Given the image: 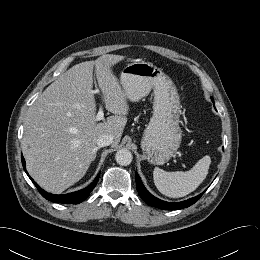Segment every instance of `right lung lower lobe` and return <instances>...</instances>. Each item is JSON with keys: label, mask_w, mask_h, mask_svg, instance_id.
<instances>
[{"label": "right lung lower lobe", "mask_w": 260, "mask_h": 260, "mask_svg": "<svg viewBox=\"0 0 260 260\" xmlns=\"http://www.w3.org/2000/svg\"><path fill=\"white\" fill-rule=\"evenodd\" d=\"M22 158V164L24 167L25 172L27 173L26 169H25V160ZM28 175V174H27ZM99 175H97V177L95 178V180L93 181L92 184H90L87 188L79 190L77 192H72V193H68V194H64V195H54V194H49L46 191H44L43 189H41L37 183L34 182V180L29 176V178L31 179V181L34 183V185L37 187V189L39 190L40 194L47 200L49 201H54L56 203H65V204H78L81 203L83 200H85L90 192L94 189V187L96 186L98 179H99Z\"/></svg>", "instance_id": "right-lung-lower-lobe-1"}]
</instances>
